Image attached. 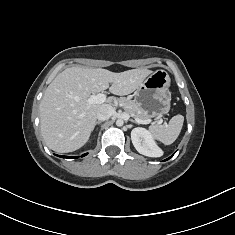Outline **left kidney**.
<instances>
[{"instance_id": "1", "label": "left kidney", "mask_w": 235, "mask_h": 235, "mask_svg": "<svg viewBox=\"0 0 235 235\" xmlns=\"http://www.w3.org/2000/svg\"><path fill=\"white\" fill-rule=\"evenodd\" d=\"M131 140L135 149L148 157H160L163 151L157 146L154 138L145 128L137 127L131 131Z\"/></svg>"}]
</instances>
